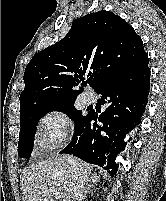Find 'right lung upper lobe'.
Wrapping results in <instances>:
<instances>
[{
    "label": "right lung upper lobe",
    "mask_w": 166,
    "mask_h": 201,
    "mask_svg": "<svg viewBox=\"0 0 166 201\" xmlns=\"http://www.w3.org/2000/svg\"><path fill=\"white\" fill-rule=\"evenodd\" d=\"M144 55L141 38L121 17L101 10L78 18L65 38L37 53L26 66L20 115L73 102L84 75L96 91Z\"/></svg>",
    "instance_id": "cb5924a9"
}]
</instances>
